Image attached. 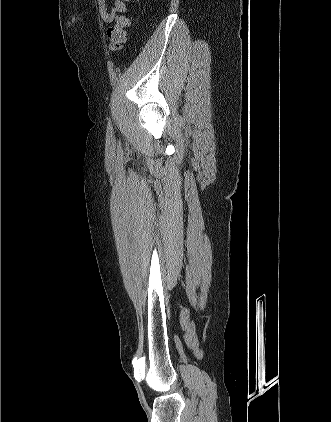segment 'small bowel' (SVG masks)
Here are the masks:
<instances>
[{"mask_svg":"<svg viewBox=\"0 0 331 422\" xmlns=\"http://www.w3.org/2000/svg\"><path fill=\"white\" fill-rule=\"evenodd\" d=\"M99 14L106 23H113L119 13L126 11L127 7L124 1L114 0L113 5L109 6L107 0H97Z\"/></svg>","mask_w":331,"mask_h":422,"instance_id":"c3829d8e","label":"small bowel"}]
</instances>
